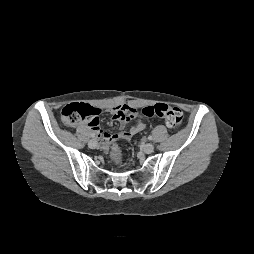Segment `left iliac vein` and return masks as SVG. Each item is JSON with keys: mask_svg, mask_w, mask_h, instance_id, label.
I'll list each match as a JSON object with an SVG mask.
<instances>
[{"mask_svg": "<svg viewBox=\"0 0 254 254\" xmlns=\"http://www.w3.org/2000/svg\"><path fill=\"white\" fill-rule=\"evenodd\" d=\"M143 150L147 154L152 153L154 150V145L152 143H147L144 145Z\"/></svg>", "mask_w": 254, "mask_h": 254, "instance_id": "left-iliac-vein-1", "label": "left iliac vein"}]
</instances>
